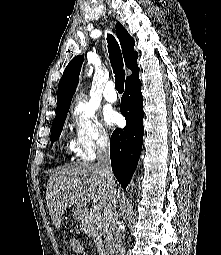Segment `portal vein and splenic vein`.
I'll return each mask as SVG.
<instances>
[{
  "label": "portal vein and splenic vein",
  "mask_w": 221,
  "mask_h": 255,
  "mask_svg": "<svg viewBox=\"0 0 221 255\" xmlns=\"http://www.w3.org/2000/svg\"><path fill=\"white\" fill-rule=\"evenodd\" d=\"M101 207L99 205L94 206V211L100 212Z\"/></svg>",
  "instance_id": "18ae733b"
}]
</instances>
